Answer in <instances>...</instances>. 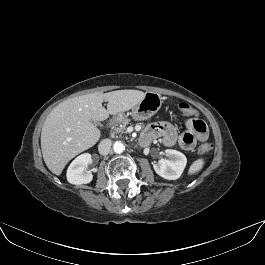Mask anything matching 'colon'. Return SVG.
I'll list each match as a JSON object with an SVG mask.
<instances>
[{
    "label": "colon",
    "instance_id": "obj_1",
    "mask_svg": "<svg viewBox=\"0 0 265 265\" xmlns=\"http://www.w3.org/2000/svg\"><path fill=\"white\" fill-rule=\"evenodd\" d=\"M180 110L187 118H196L197 112L194 108H192L189 104L182 102L179 105ZM212 147L210 142H204L199 146V153L204 154L208 152Z\"/></svg>",
    "mask_w": 265,
    "mask_h": 265
}]
</instances>
